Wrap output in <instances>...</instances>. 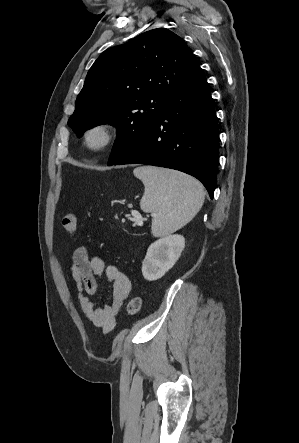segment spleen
<instances>
[{
    "label": "spleen",
    "instance_id": "3e777b00",
    "mask_svg": "<svg viewBox=\"0 0 299 443\" xmlns=\"http://www.w3.org/2000/svg\"><path fill=\"white\" fill-rule=\"evenodd\" d=\"M133 173L145 186L140 207L154 213L151 229L156 237L186 225L203 205V186L186 174L151 166L138 167Z\"/></svg>",
    "mask_w": 299,
    "mask_h": 443
}]
</instances>
